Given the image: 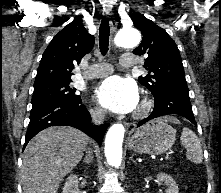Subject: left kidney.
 I'll return each mask as SVG.
<instances>
[{
	"label": "left kidney",
	"mask_w": 221,
	"mask_h": 193,
	"mask_svg": "<svg viewBox=\"0 0 221 193\" xmlns=\"http://www.w3.org/2000/svg\"><path fill=\"white\" fill-rule=\"evenodd\" d=\"M157 183L160 185L164 183L167 186L166 193H179V188L173 178L165 173H160L157 175Z\"/></svg>",
	"instance_id": "obj_1"
}]
</instances>
